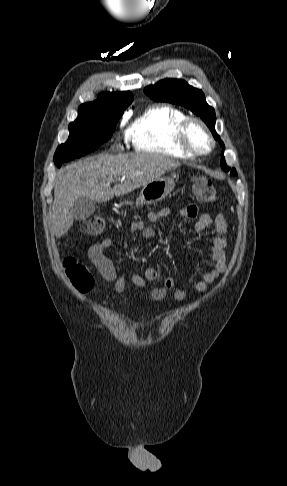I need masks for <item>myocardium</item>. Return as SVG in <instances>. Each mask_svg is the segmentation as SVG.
<instances>
[{"mask_svg": "<svg viewBox=\"0 0 287 486\" xmlns=\"http://www.w3.org/2000/svg\"><path fill=\"white\" fill-rule=\"evenodd\" d=\"M192 126H197L201 129L209 141V147L206 150L196 148L190 141L189 131ZM177 140L179 145L193 156H205L212 152L215 147V140L206 124L199 118L187 117L181 122L177 130Z\"/></svg>", "mask_w": 287, "mask_h": 486, "instance_id": "f54148a6", "label": "myocardium"}]
</instances>
